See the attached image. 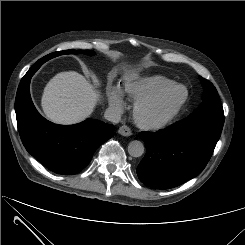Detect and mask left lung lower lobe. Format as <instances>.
I'll return each mask as SVG.
<instances>
[{
    "instance_id": "obj_1",
    "label": "left lung lower lobe",
    "mask_w": 245,
    "mask_h": 245,
    "mask_svg": "<svg viewBox=\"0 0 245 245\" xmlns=\"http://www.w3.org/2000/svg\"><path fill=\"white\" fill-rule=\"evenodd\" d=\"M223 124L182 120L155 133L141 132L146 154L137 167L142 183L169 189L199 175L211 158Z\"/></svg>"
}]
</instances>
